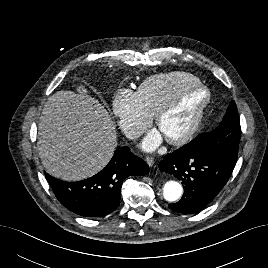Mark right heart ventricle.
Here are the masks:
<instances>
[{
  "label": "right heart ventricle",
  "instance_id": "1",
  "mask_svg": "<svg viewBox=\"0 0 268 268\" xmlns=\"http://www.w3.org/2000/svg\"><path fill=\"white\" fill-rule=\"evenodd\" d=\"M190 84H200L199 78L180 71L159 73L142 82L139 94L154 116L179 89Z\"/></svg>",
  "mask_w": 268,
  "mask_h": 268
}]
</instances>
